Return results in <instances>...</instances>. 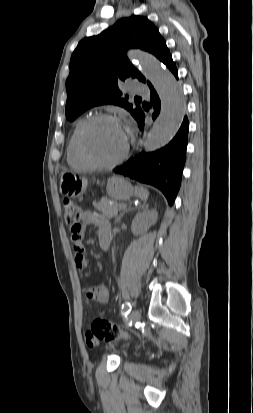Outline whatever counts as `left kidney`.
<instances>
[{"label": "left kidney", "mask_w": 253, "mask_h": 413, "mask_svg": "<svg viewBox=\"0 0 253 413\" xmlns=\"http://www.w3.org/2000/svg\"><path fill=\"white\" fill-rule=\"evenodd\" d=\"M158 213L156 210H144L134 217L131 229L134 234L146 232L157 222Z\"/></svg>", "instance_id": "left-kidney-1"}]
</instances>
